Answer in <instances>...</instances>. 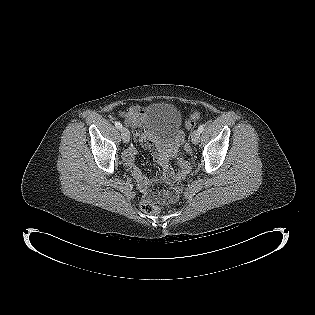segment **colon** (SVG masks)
Wrapping results in <instances>:
<instances>
[{"mask_svg":"<svg viewBox=\"0 0 315 315\" xmlns=\"http://www.w3.org/2000/svg\"><path fill=\"white\" fill-rule=\"evenodd\" d=\"M199 117H200V111L198 109H195L186 120V123H185L186 129L188 130L192 129L195 121ZM177 163L179 166V170L176 173V176L175 178H173V180L176 182H180L182 179L185 178V176L189 172V164L185 160L182 154L179 156ZM178 193H179V187H173L167 193L160 196V202L173 201L177 198ZM141 209L143 212L147 214H158L162 211V206L160 204H156L153 201L147 199L142 202Z\"/></svg>","mask_w":315,"mask_h":315,"instance_id":"colon-1","label":"colon"}]
</instances>
